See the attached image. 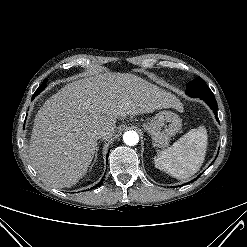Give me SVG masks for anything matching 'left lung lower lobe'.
Returning <instances> with one entry per match:
<instances>
[{
    "label": "left lung lower lobe",
    "instance_id": "left-lung-lower-lobe-1",
    "mask_svg": "<svg viewBox=\"0 0 247 247\" xmlns=\"http://www.w3.org/2000/svg\"><path fill=\"white\" fill-rule=\"evenodd\" d=\"M201 99L204 100L210 106V108L213 110L217 118V102H216L215 97H203Z\"/></svg>",
    "mask_w": 247,
    "mask_h": 247
}]
</instances>
